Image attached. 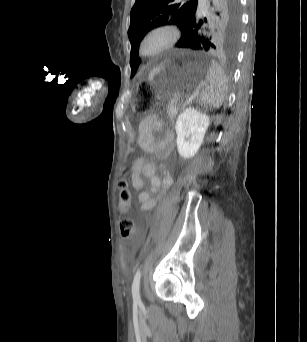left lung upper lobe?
Returning a JSON list of instances; mask_svg holds the SVG:
<instances>
[{"label":"left lung upper lobe","mask_w":307,"mask_h":342,"mask_svg":"<svg viewBox=\"0 0 307 342\" xmlns=\"http://www.w3.org/2000/svg\"><path fill=\"white\" fill-rule=\"evenodd\" d=\"M130 17L132 75L141 62L138 56L140 41L158 26L174 24L179 27L182 31V37L176 43L179 48L222 50L234 54L239 41L238 0H211L204 15L199 10L198 0H136Z\"/></svg>","instance_id":"left-lung-upper-lobe-1"}]
</instances>
